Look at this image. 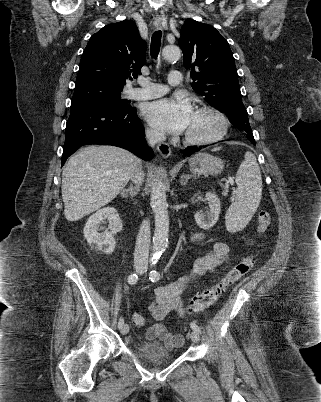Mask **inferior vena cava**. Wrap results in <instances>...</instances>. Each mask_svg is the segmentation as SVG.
<instances>
[{"mask_svg":"<svg viewBox=\"0 0 321 402\" xmlns=\"http://www.w3.org/2000/svg\"><path fill=\"white\" fill-rule=\"evenodd\" d=\"M164 138L165 135L163 132L152 129L146 131V139L151 147H154L157 142L162 141ZM143 178L144 173L141 171L140 167L135 169L131 176L132 182H134L137 186L142 184ZM150 234V222L149 220H144L137 235L134 252L135 266L142 267L144 269H147L148 267Z\"/></svg>","mask_w":321,"mask_h":402,"instance_id":"602c4592","label":"inferior vena cava"}]
</instances>
